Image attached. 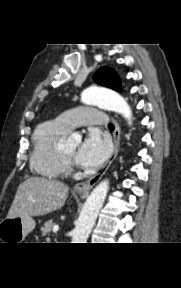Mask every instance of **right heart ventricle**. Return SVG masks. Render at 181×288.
Masks as SVG:
<instances>
[{"label":"right heart ventricle","mask_w":181,"mask_h":288,"mask_svg":"<svg viewBox=\"0 0 181 288\" xmlns=\"http://www.w3.org/2000/svg\"><path fill=\"white\" fill-rule=\"evenodd\" d=\"M68 130L56 120L42 123L33 135V150L30 158L32 169L41 176L55 179L67 173L68 163L63 157L59 141Z\"/></svg>","instance_id":"obj_1"}]
</instances>
